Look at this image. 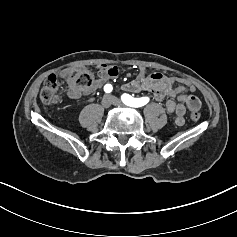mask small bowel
Masks as SVG:
<instances>
[{
	"label": "small bowel",
	"instance_id": "c3829d8e",
	"mask_svg": "<svg viewBox=\"0 0 237 237\" xmlns=\"http://www.w3.org/2000/svg\"><path fill=\"white\" fill-rule=\"evenodd\" d=\"M120 74L117 67L111 65L98 66V73L93 84L84 90H75L69 87L67 89L68 97L78 99L89 95L95 90L105 86L110 80L115 79ZM60 78L66 80L69 78V71L60 73ZM175 84H180L175 87ZM124 90L129 92H147L156 101H162L165 98V108L168 113L174 116L177 125H182L185 121L187 111L199 110L200 100L190 94L196 90L189 80L179 77H168L160 73L146 74L140 70L136 78L123 85Z\"/></svg>",
	"mask_w": 237,
	"mask_h": 237
}]
</instances>
